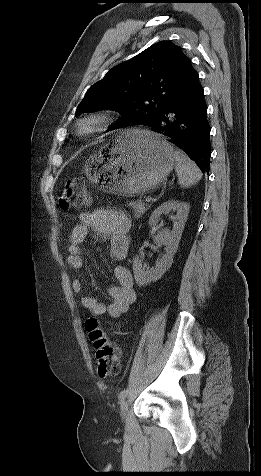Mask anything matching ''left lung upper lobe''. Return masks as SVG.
Instances as JSON below:
<instances>
[{
  "mask_svg": "<svg viewBox=\"0 0 261 476\" xmlns=\"http://www.w3.org/2000/svg\"><path fill=\"white\" fill-rule=\"evenodd\" d=\"M194 72L179 46L170 41L158 42L110 69L88 89L75 115L113 109L122 117L109 130L143 125L165 109Z\"/></svg>",
  "mask_w": 261,
  "mask_h": 476,
  "instance_id": "1",
  "label": "left lung upper lobe"
}]
</instances>
